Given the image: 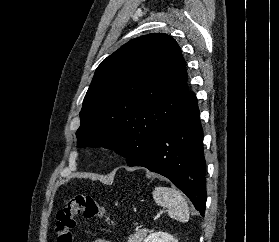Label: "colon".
Listing matches in <instances>:
<instances>
[{"label": "colon", "mask_w": 279, "mask_h": 242, "mask_svg": "<svg viewBox=\"0 0 279 242\" xmlns=\"http://www.w3.org/2000/svg\"><path fill=\"white\" fill-rule=\"evenodd\" d=\"M101 218L108 224H113L107 210L99 205L92 196L78 194L68 198L57 212L55 227V242H73V230L77 218Z\"/></svg>", "instance_id": "obj_1"}]
</instances>
